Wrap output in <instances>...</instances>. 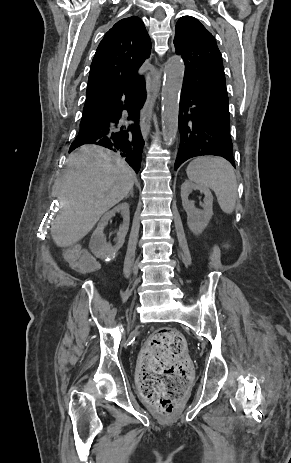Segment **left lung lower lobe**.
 Segmentation results:
<instances>
[{"instance_id":"obj_1","label":"left lung lower lobe","mask_w":291,"mask_h":463,"mask_svg":"<svg viewBox=\"0 0 291 463\" xmlns=\"http://www.w3.org/2000/svg\"><path fill=\"white\" fill-rule=\"evenodd\" d=\"M180 145L175 170L186 160L205 155L221 156L235 166L229 113L197 92L182 88L179 104Z\"/></svg>"}]
</instances>
